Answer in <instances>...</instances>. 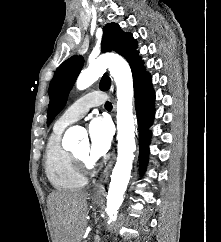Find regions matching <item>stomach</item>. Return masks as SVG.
<instances>
[{"mask_svg": "<svg viewBox=\"0 0 221 242\" xmlns=\"http://www.w3.org/2000/svg\"><path fill=\"white\" fill-rule=\"evenodd\" d=\"M92 201H93V203H95V204H98V203H99V200H97V199H92Z\"/></svg>", "mask_w": 221, "mask_h": 242, "instance_id": "obj_1", "label": "stomach"}]
</instances>
